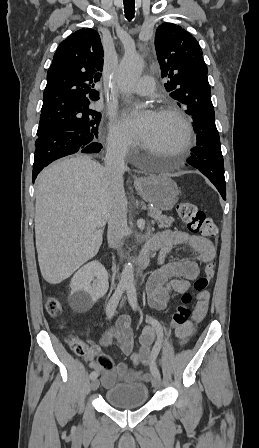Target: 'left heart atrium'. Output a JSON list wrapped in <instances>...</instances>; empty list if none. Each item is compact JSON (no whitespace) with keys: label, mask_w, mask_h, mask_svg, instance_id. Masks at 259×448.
I'll list each match as a JSON object with an SVG mask.
<instances>
[{"label":"left heart atrium","mask_w":259,"mask_h":448,"mask_svg":"<svg viewBox=\"0 0 259 448\" xmlns=\"http://www.w3.org/2000/svg\"><path fill=\"white\" fill-rule=\"evenodd\" d=\"M156 115L157 114L153 110H147L143 114H138L131 110L124 114L123 123L136 138H140L155 120Z\"/></svg>","instance_id":"left-heart-atrium-1"}]
</instances>
